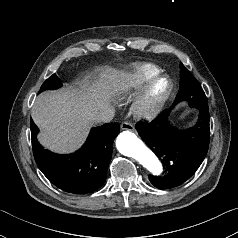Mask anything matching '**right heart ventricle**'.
I'll return each mask as SVG.
<instances>
[{
  "label": "right heart ventricle",
  "instance_id": "e07e8e85",
  "mask_svg": "<svg viewBox=\"0 0 238 238\" xmlns=\"http://www.w3.org/2000/svg\"><path fill=\"white\" fill-rule=\"evenodd\" d=\"M159 73V68L152 63H140L134 66L122 83V90L126 95H134L150 79Z\"/></svg>",
  "mask_w": 238,
  "mask_h": 238
}]
</instances>
